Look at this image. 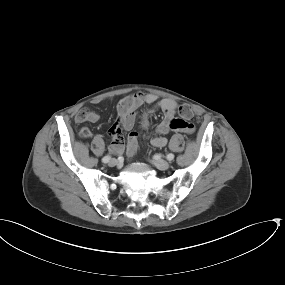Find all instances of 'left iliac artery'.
<instances>
[{"instance_id":"obj_1","label":"left iliac artery","mask_w":285,"mask_h":285,"mask_svg":"<svg viewBox=\"0 0 285 285\" xmlns=\"http://www.w3.org/2000/svg\"><path fill=\"white\" fill-rule=\"evenodd\" d=\"M166 159L169 161H172L174 159V154H172V153L167 154Z\"/></svg>"}]
</instances>
